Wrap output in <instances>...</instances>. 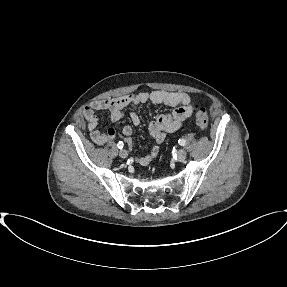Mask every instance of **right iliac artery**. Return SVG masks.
Instances as JSON below:
<instances>
[{"mask_svg": "<svg viewBox=\"0 0 287 287\" xmlns=\"http://www.w3.org/2000/svg\"><path fill=\"white\" fill-rule=\"evenodd\" d=\"M123 146H124L123 142H122V141H119V143L117 144V147H118L119 149H122Z\"/></svg>", "mask_w": 287, "mask_h": 287, "instance_id": "obj_1", "label": "right iliac artery"}]
</instances>
